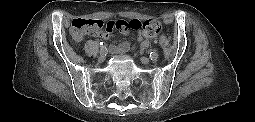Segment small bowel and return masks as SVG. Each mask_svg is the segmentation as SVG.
Masks as SVG:
<instances>
[{
	"mask_svg": "<svg viewBox=\"0 0 255 122\" xmlns=\"http://www.w3.org/2000/svg\"><path fill=\"white\" fill-rule=\"evenodd\" d=\"M119 30H120V32L123 35H126L128 33V31H129L128 28H122V29H119ZM90 33L95 35V36H98L100 38H103V39L107 40L110 37L111 30L110 31H107V30H103V31H90ZM150 39H154V37H147L142 32H139V34H138V41L141 42V45H142L143 48H146V47L149 46V40ZM111 49L115 53H125V52H127L130 49V45L127 42H121V43H119L117 45H113L111 47Z\"/></svg>",
	"mask_w": 255,
	"mask_h": 122,
	"instance_id": "1",
	"label": "small bowel"
}]
</instances>
